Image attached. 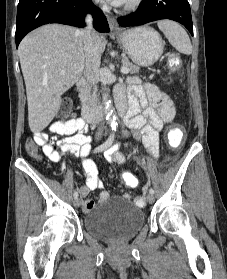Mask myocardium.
Segmentation results:
<instances>
[{
    "mask_svg": "<svg viewBox=\"0 0 227 279\" xmlns=\"http://www.w3.org/2000/svg\"><path fill=\"white\" fill-rule=\"evenodd\" d=\"M143 0H126L122 3L121 7L126 12L137 10L142 4Z\"/></svg>",
    "mask_w": 227,
    "mask_h": 279,
    "instance_id": "f54148a6",
    "label": "myocardium"
}]
</instances>
